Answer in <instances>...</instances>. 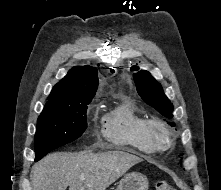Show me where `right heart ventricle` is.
Returning <instances> with one entry per match:
<instances>
[{
    "mask_svg": "<svg viewBox=\"0 0 221 190\" xmlns=\"http://www.w3.org/2000/svg\"><path fill=\"white\" fill-rule=\"evenodd\" d=\"M147 117L128 99L119 101L101 119L103 138L118 147H130L145 154L155 150L146 141L144 122Z\"/></svg>",
    "mask_w": 221,
    "mask_h": 190,
    "instance_id": "right-heart-ventricle-1",
    "label": "right heart ventricle"
}]
</instances>
